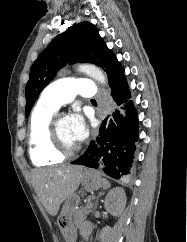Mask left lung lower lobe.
<instances>
[{
    "mask_svg": "<svg viewBox=\"0 0 187 242\" xmlns=\"http://www.w3.org/2000/svg\"><path fill=\"white\" fill-rule=\"evenodd\" d=\"M110 88L113 100L120 107L102 122L99 137L92 140L86 152L72 164L99 168L119 179L127 175L132 166L139 122L125 75L117 78Z\"/></svg>",
    "mask_w": 187,
    "mask_h": 242,
    "instance_id": "0a47b994",
    "label": "left lung lower lobe"
}]
</instances>
